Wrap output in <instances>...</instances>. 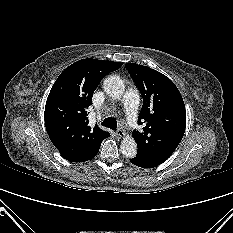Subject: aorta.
<instances>
[{"mask_svg": "<svg viewBox=\"0 0 233 233\" xmlns=\"http://www.w3.org/2000/svg\"><path fill=\"white\" fill-rule=\"evenodd\" d=\"M103 88L106 94L116 99L123 95L125 86L119 76L111 75L105 78ZM120 150L124 156L128 158L134 157L137 153L136 141L130 136L124 138L121 141Z\"/></svg>", "mask_w": 233, "mask_h": 233, "instance_id": "1", "label": "aorta"}]
</instances>
